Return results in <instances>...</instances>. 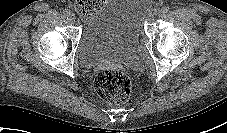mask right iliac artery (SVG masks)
Returning <instances> with one entry per match:
<instances>
[{
  "instance_id": "1",
  "label": "right iliac artery",
  "mask_w": 227,
  "mask_h": 133,
  "mask_svg": "<svg viewBox=\"0 0 227 133\" xmlns=\"http://www.w3.org/2000/svg\"><path fill=\"white\" fill-rule=\"evenodd\" d=\"M63 13H64V15L69 16L70 15V10L69 9H64Z\"/></svg>"
}]
</instances>
